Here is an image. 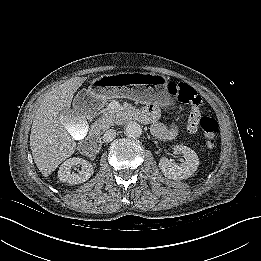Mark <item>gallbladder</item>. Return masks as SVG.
I'll return each mask as SVG.
<instances>
[{
	"mask_svg": "<svg viewBox=\"0 0 261 261\" xmlns=\"http://www.w3.org/2000/svg\"><path fill=\"white\" fill-rule=\"evenodd\" d=\"M61 123L66 130L76 140L84 139L89 132L87 120L79 113L73 110H66L60 116Z\"/></svg>",
	"mask_w": 261,
	"mask_h": 261,
	"instance_id": "bac80fb5",
	"label": "gallbladder"
}]
</instances>
